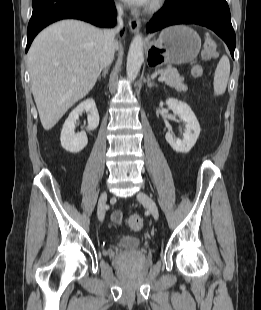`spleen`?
Returning <instances> with one entry per match:
<instances>
[{
  "mask_svg": "<svg viewBox=\"0 0 261 310\" xmlns=\"http://www.w3.org/2000/svg\"><path fill=\"white\" fill-rule=\"evenodd\" d=\"M230 75V62L227 56H223L215 70L214 75V95H222L225 93Z\"/></svg>",
  "mask_w": 261,
  "mask_h": 310,
  "instance_id": "1",
  "label": "spleen"
}]
</instances>
